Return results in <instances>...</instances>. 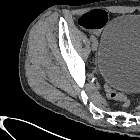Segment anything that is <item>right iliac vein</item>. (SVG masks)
<instances>
[{
	"label": "right iliac vein",
	"instance_id": "1",
	"mask_svg": "<svg viewBox=\"0 0 140 140\" xmlns=\"http://www.w3.org/2000/svg\"><path fill=\"white\" fill-rule=\"evenodd\" d=\"M97 49V42L96 41H93V44H92V50H96Z\"/></svg>",
	"mask_w": 140,
	"mask_h": 140
}]
</instances>
